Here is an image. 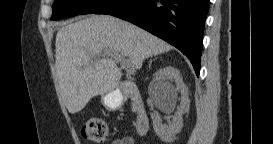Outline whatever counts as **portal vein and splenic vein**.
I'll list each match as a JSON object with an SVG mask.
<instances>
[{
  "label": "portal vein and splenic vein",
  "mask_w": 273,
  "mask_h": 144,
  "mask_svg": "<svg viewBox=\"0 0 273 144\" xmlns=\"http://www.w3.org/2000/svg\"><path fill=\"white\" fill-rule=\"evenodd\" d=\"M108 57H111L112 59H114L115 61L119 62L124 68H126V70L130 73L133 74L134 70L131 69V63L129 59H125L123 57V55L117 53V52H108L107 53Z\"/></svg>",
  "instance_id": "portal-vein-and-splenic-vein-1"
}]
</instances>
